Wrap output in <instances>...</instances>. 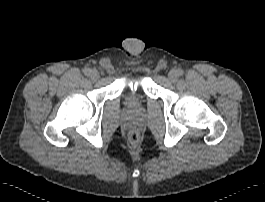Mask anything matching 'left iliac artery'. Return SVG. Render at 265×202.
Instances as JSON below:
<instances>
[{
	"label": "left iliac artery",
	"instance_id": "obj_1",
	"mask_svg": "<svg viewBox=\"0 0 265 202\" xmlns=\"http://www.w3.org/2000/svg\"><path fill=\"white\" fill-rule=\"evenodd\" d=\"M178 76H182L184 74V71L182 69L177 70Z\"/></svg>",
	"mask_w": 265,
	"mask_h": 202
}]
</instances>
